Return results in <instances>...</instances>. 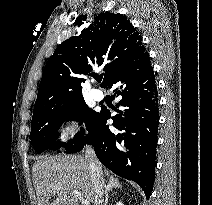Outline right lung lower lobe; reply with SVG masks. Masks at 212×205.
<instances>
[{
  "label": "right lung lower lobe",
  "mask_w": 212,
  "mask_h": 205,
  "mask_svg": "<svg viewBox=\"0 0 212 205\" xmlns=\"http://www.w3.org/2000/svg\"><path fill=\"white\" fill-rule=\"evenodd\" d=\"M106 88L114 89V97L121 98L116 106L125 109L116 110L119 114L113 117L101 110L89 133L66 147V152H79L85 143L92 145L103 165L138 183L148 199L154 183L159 124L157 85L148 52L120 68ZM109 118L119 133H112L106 125Z\"/></svg>",
  "instance_id": "98d812e1"
}]
</instances>
